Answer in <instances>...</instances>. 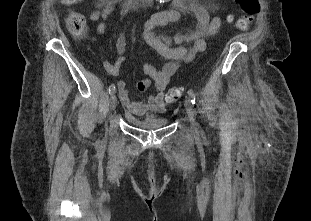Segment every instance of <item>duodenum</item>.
<instances>
[{"label": "duodenum", "instance_id": "duodenum-1", "mask_svg": "<svg viewBox=\"0 0 311 221\" xmlns=\"http://www.w3.org/2000/svg\"><path fill=\"white\" fill-rule=\"evenodd\" d=\"M150 0H122V6L127 10H136L149 5Z\"/></svg>", "mask_w": 311, "mask_h": 221}]
</instances>
